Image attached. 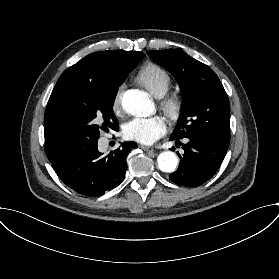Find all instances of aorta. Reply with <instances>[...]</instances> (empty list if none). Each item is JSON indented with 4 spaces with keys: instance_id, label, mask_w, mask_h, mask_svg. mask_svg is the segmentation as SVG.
Instances as JSON below:
<instances>
[{
    "instance_id": "aorta-1",
    "label": "aorta",
    "mask_w": 279,
    "mask_h": 279,
    "mask_svg": "<svg viewBox=\"0 0 279 279\" xmlns=\"http://www.w3.org/2000/svg\"><path fill=\"white\" fill-rule=\"evenodd\" d=\"M123 109L131 115L149 116L154 111V104L144 91L132 89L122 98ZM157 164L162 172L172 173L178 165V158L172 151H164L157 157Z\"/></svg>"
}]
</instances>
